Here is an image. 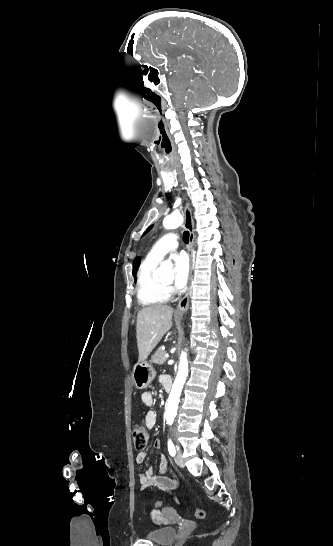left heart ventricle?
<instances>
[{
	"instance_id": "1",
	"label": "left heart ventricle",
	"mask_w": 333,
	"mask_h": 546,
	"mask_svg": "<svg viewBox=\"0 0 333 546\" xmlns=\"http://www.w3.org/2000/svg\"><path fill=\"white\" fill-rule=\"evenodd\" d=\"M171 279L167 280V281H164L165 284H170L171 283Z\"/></svg>"
}]
</instances>
